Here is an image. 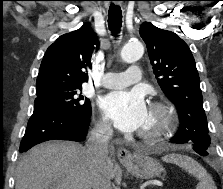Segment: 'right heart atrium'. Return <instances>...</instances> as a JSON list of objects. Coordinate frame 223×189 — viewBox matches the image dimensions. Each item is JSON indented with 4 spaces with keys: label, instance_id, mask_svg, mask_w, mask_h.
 I'll return each mask as SVG.
<instances>
[{
    "label": "right heart atrium",
    "instance_id": "d8ad5b80",
    "mask_svg": "<svg viewBox=\"0 0 223 189\" xmlns=\"http://www.w3.org/2000/svg\"><path fill=\"white\" fill-rule=\"evenodd\" d=\"M96 129L103 134H108L110 132L109 124L103 119L99 118L96 122Z\"/></svg>",
    "mask_w": 223,
    "mask_h": 189
}]
</instances>
